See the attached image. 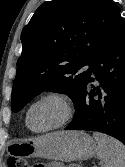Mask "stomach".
<instances>
[{
  "label": "stomach",
  "mask_w": 125,
  "mask_h": 167,
  "mask_svg": "<svg viewBox=\"0 0 125 167\" xmlns=\"http://www.w3.org/2000/svg\"><path fill=\"white\" fill-rule=\"evenodd\" d=\"M18 156L40 157L61 162L87 160L97 151L95 140L82 131H58L11 145Z\"/></svg>",
  "instance_id": "0dacf381"
}]
</instances>
